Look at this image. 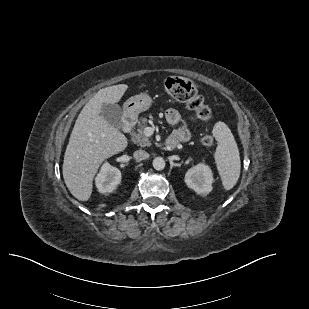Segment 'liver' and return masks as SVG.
<instances>
[{
	"instance_id": "liver-1",
	"label": "liver",
	"mask_w": 309,
	"mask_h": 309,
	"mask_svg": "<svg viewBox=\"0 0 309 309\" xmlns=\"http://www.w3.org/2000/svg\"><path fill=\"white\" fill-rule=\"evenodd\" d=\"M127 89L128 85L119 84L99 90L76 120L64 155L63 178L79 201L91 197L93 179L102 162L128 145L125 135L100 115L103 104H116Z\"/></svg>"
}]
</instances>
